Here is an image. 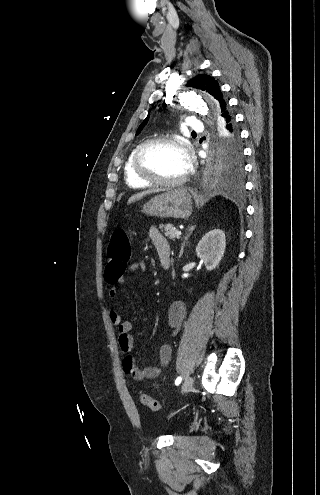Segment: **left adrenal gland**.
<instances>
[{"label": "left adrenal gland", "mask_w": 320, "mask_h": 495, "mask_svg": "<svg viewBox=\"0 0 320 495\" xmlns=\"http://www.w3.org/2000/svg\"><path fill=\"white\" fill-rule=\"evenodd\" d=\"M195 228H196V226H195V225H194V226L189 227V233L187 234V236L185 237V239H184V241H183V243H182V245H181L180 254H179V256H180V257H181V256H182V254H183V251H184V246H185V244H186L187 240L189 239V237L191 236V234L193 233V231L195 230Z\"/></svg>", "instance_id": "left-adrenal-gland-1"}]
</instances>
